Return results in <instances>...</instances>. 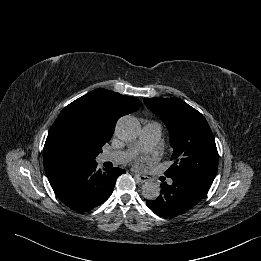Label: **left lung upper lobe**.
Returning a JSON list of instances; mask_svg holds the SVG:
<instances>
[{
  "label": "left lung upper lobe",
  "instance_id": "obj_1",
  "mask_svg": "<svg viewBox=\"0 0 261 261\" xmlns=\"http://www.w3.org/2000/svg\"><path fill=\"white\" fill-rule=\"evenodd\" d=\"M144 103L169 131L174 163L165 175L195 174L214 180L218 152L204 116L179 98H145Z\"/></svg>",
  "mask_w": 261,
  "mask_h": 261
}]
</instances>
